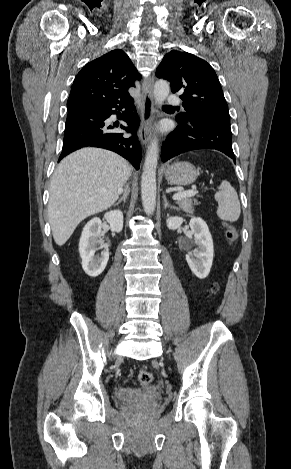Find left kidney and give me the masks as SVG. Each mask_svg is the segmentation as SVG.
<instances>
[{
    "label": "left kidney",
    "mask_w": 291,
    "mask_h": 469,
    "mask_svg": "<svg viewBox=\"0 0 291 469\" xmlns=\"http://www.w3.org/2000/svg\"><path fill=\"white\" fill-rule=\"evenodd\" d=\"M166 223L169 229L175 230L183 223V218L169 217ZM189 226L194 234L196 248L188 252L186 261L193 274L204 279L209 275L213 263V239L206 222L201 218H191Z\"/></svg>",
    "instance_id": "5707ae66"
}]
</instances>
